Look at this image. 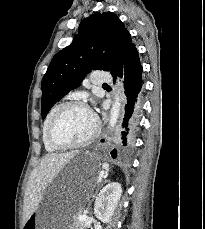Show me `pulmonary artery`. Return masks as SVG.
I'll return each mask as SVG.
<instances>
[{
	"label": "pulmonary artery",
	"instance_id": "obj_1",
	"mask_svg": "<svg viewBox=\"0 0 205 229\" xmlns=\"http://www.w3.org/2000/svg\"><path fill=\"white\" fill-rule=\"evenodd\" d=\"M92 83L96 85H103L111 83L113 78L110 73L102 71V70H96L92 73Z\"/></svg>",
	"mask_w": 205,
	"mask_h": 229
}]
</instances>
